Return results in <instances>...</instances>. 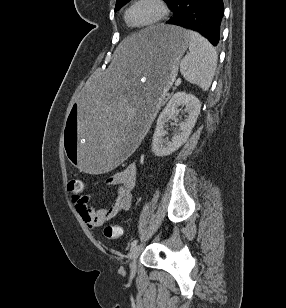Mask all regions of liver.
<instances>
[{
  "label": "liver",
  "instance_id": "6515ba94",
  "mask_svg": "<svg viewBox=\"0 0 286 308\" xmlns=\"http://www.w3.org/2000/svg\"><path fill=\"white\" fill-rule=\"evenodd\" d=\"M141 41L139 34H134L124 39L115 51V57L113 65H117L119 62L132 59L138 50V46Z\"/></svg>",
  "mask_w": 286,
  "mask_h": 308
}]
</instances>
